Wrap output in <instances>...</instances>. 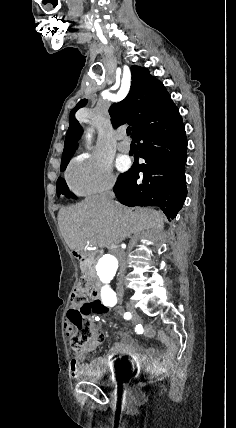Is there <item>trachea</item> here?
<instances>
[{"mask_svg":"<svg viewBox=\"0 0 236 428\" xmlns=\"http://www.w3.org/2000/svg\"><path fill=\"white\" fill-rule=\"evenodd\" d=\"M126 133H127V135L131 134V128L130 127H127Z\"/></svg>","mask_w":236,"mask_h":428,"instance_id":"1","label":"trachea"}]
</instances>
